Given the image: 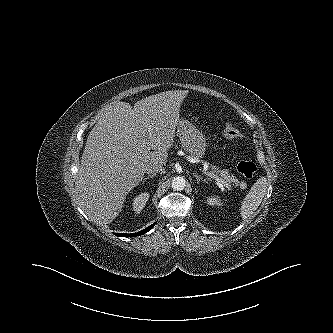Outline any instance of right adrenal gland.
Listing matches in <instances>:
<instances>
[{"label":"right adrenal gland","instance_id":"right-adrenal-gland-1","mask_svg":"<svg viewBox=\"0 0 333 333\" xmlns=\"http://www.w3.org/2000/svg\"><path fill=\"white\" fill-rule=\"evenodd\" d=\"M154 176H155V175H148V176H146V177L143 179L142 184H144V183L147 181V179H149V178L153 179Z\"/></svg>","mask_w":333,"mask_h":333}]
</instances>
